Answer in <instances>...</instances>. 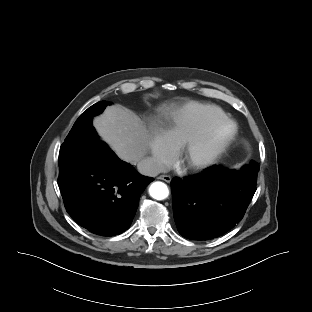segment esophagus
I'll list each match as a JSON object with an SVG mask.
<instances>
[{"instance_id": "1", "label": "esophagus", "mask_w": 312, "mask_h": 312, "mask_svg": "<svg viewBox=\"0 0 312 312\" xmlns=\"http://www.w3.org/2000/svg\"><path fill=\"white\" fill-rule=\"evenodd\" d=\"M158 179L163 180V181H165L167 183L171 182V177L169 175H161V176L158 177Z\"/></svg>"}]
</instances>
